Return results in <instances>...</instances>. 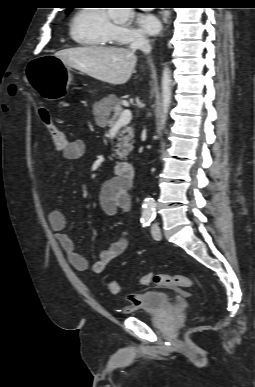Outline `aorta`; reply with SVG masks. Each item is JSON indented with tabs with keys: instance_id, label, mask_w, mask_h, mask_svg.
Here are the masks:
<instances>
[{
	"instance_id": "1",
	"label": "aorta",
	"mask_w": 255,
	"mask_h": 387,
	"mask_svg": "<svg viewBox=\"0 0 255 387\" xmlns=\"http://www.w3.org/2000/svg\"><path fill=\"white\" fill-rule=\"evenodd\" d=\"M133 8H108V15L111 19H113L116 23L123 24L129 20L133 15ZM162 116H161V124L164 125L167 120L168 111L171 105L172 98V79H171V71L168 66H165L162 73ZM156 203L155 200L151 197H146L144 199L142 208H143V216L146 218H150L155 213Z\"/></svg>"
}]
</instances>
